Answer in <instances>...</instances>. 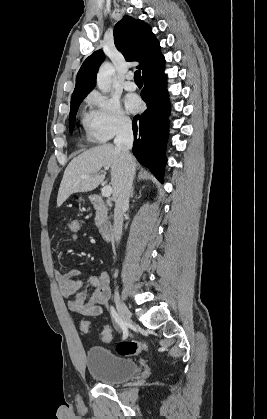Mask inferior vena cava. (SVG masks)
I'll return each instance as SVG.
<instances>
[{"instance_id":"1","label":"inferior vena cava","mask_w":267,"mask_h":419,"mask_svg":"<svg viewBox=\"0 0 267 419\" xmlns=\"http://www.w3.org/2000/svg\"><path fill=\"white\" fill-rule=\"evenodd\" d=\"M114 144L121 153L123 163V174L119 182L118 195L115 201L113 228V237L119 243L122 236L123 216L129 207V197L135 175V161L130 153L133 146V131L129 120L120 122Z\"/></svg>"}]
</instances>
